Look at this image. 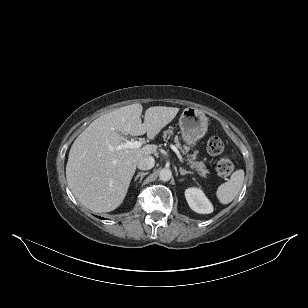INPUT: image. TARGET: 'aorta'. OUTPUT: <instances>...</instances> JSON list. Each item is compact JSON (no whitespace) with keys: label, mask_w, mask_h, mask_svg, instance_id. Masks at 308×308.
<instances>
[{"label":"aorta","mask_w":308,"mask_h":308,"mask_svg":"<svg viewBox=\"0 0 308 308\" xmlns=\"http://www.w3.org/2000/svg\"><path fill=\"white\" fill-rule=\"evenodd\" d=\"M172 177V172L170 169L164 168L159 172V178L161 181H169Z\"/></svg>","instance_id":"obj_1"}]
</instances>
